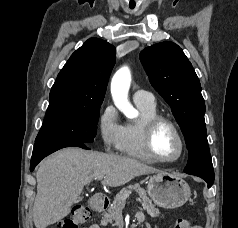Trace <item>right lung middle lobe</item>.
<instances>
[{
  "instance_id": "1",
  "label": "right lung middle lobe",
  "mask_w": 238,
  "mask_h": 228,
  "mask_svg": "<svg viewBox=\"0 0 238 228\" xmlns=\"http://www.w3.org/2000/svg\"><path fill=\"white\" fill-rule=\"evenodd\" d=\"M100 105L46 113L35 144L78 141L91 143L97 134Z\"/></svg>"
}]
</instances>
